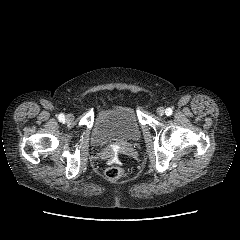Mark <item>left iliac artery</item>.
I'll list each match as a JSON object with an SVG mask.
<instances>
[{
  "instance_id": "1",
  "label": "left iliac artery",
  "mask_w": 240,
  "mask_h": 240,
  "mask_svg": "<svg viewBox=\"0 0 240 240\" xmlns=\"http://www.w3.org/2000/svg\"><path fill=\"white\" fill-rule=\"evenodd\" d=\"M172 112H173V111H172L171 108H167L166 111H165V113H166L167 116L172 115Z\"/></svg>"
}]
</instances>
